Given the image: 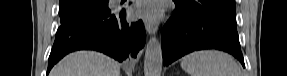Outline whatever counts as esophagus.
<instances>
[{
  "label": "esophagus",
  "mask_w": 287,
  "mask_h": 76,
  "mask_svg": "<svg viewBox=\"0 0 287 76\" xmlns=\"http://www.w3.org/2000/svg\"><path fill=\"white\" fill-rule=\"evenodd\" d=\"M143 22H144L145 28L149 34L157 32L158 25L155 21L148 19V18H144Z\"/></svg>",
  "instance_id": "34e87169"
}]
</instances>
